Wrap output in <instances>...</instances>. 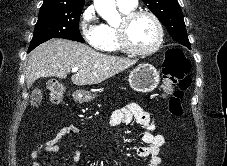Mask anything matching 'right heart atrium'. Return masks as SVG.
I'll return each mask as SVG.
<instances>
[{"mask_svg":"<svg viewBox=\"0 0 227 166\" xmlns=\"http://www.w3.org/2000/svg\"><path fill=\"white\" fill-rule=\"evenodd\" d=\"M79 28L87 43L95 48H101L104 41L103 24L99 21L93 5L87 6L82 11Z\"/></svg>","mask_w":227,"mask_h":166,"instance_id":"1","label":"right heart atrium"}]
</instances>
